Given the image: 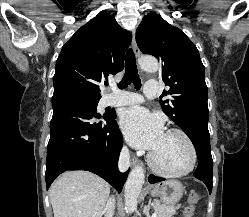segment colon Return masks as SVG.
<instances>
[{
  "instance_id": "colon-1",
  "label": "colon",
  "mask_w": 249,
  "mask_h": 217,
  "mask_svg": "<svg viewBox=\"0 0 249 217\" xmlns=\"http://www.w3.org/2000/svg\"><path fill=\"white\" fill-rule=\"evenodd\" d=\"M199 196L196 192H191L188 197V205L183 211L184 217H192L195 212V204L198 202Z\"/></svg>"
}]
</instances>
